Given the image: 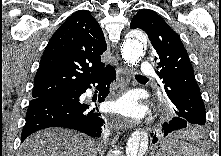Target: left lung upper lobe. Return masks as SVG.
Segmentation results:
<instances>
[{"mask_svg": "<svg viewBox=\"0 0 221 156\" xmlns=\"http://www.w3.org/2000/svg\"><path fill=\"white\" fill-rule=\"evenodd\" d=\"M131 29L144 30L151 42L157 74L164 84L167 102L177 117L191 124L204 125L205 106L195 80L193 67L179 36L153 11L140 10Z\"/></svg>", "mask_w": 221, "mask_h": 156, "instance_id": "obj_1", "label": "left lung upper lobe"}]
</instances>
